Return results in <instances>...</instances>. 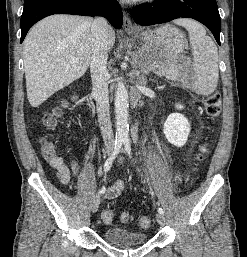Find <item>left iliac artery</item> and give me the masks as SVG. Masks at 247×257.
<instances>
[{
  "instance_id": "left-iliac-artery-1",
  "label": "left iliac artery",
  "mask_w": 247,
  "mask_h": 257,
  "mask_svg": "<svg viewBox=\"0 0 247 257\" xmlns=\"http://www.w3.org/2000/svg\"><path fill=\"white\" fill-rule=\"evenodd\" d=\"M123 144H124V149H125L126 153L128 154L129 158H131L132 152H131L130 140L128 138H124ZM158 212L161 214H164V210L162 208H158Z\"/></svg>"
}]
</instances>
